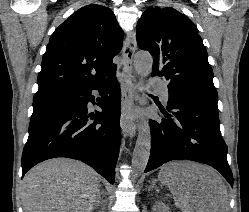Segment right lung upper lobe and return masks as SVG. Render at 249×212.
Returning <instances> with one entry per match:
<instances>
[{"mask_svg":"<svg viewBox=\"0 0 249 212\" xmlns=\"http://www.w3.org/2000/svg\"><path fill=\"white\" fill-rule=\"evenodd\" d=\"M123 31L107 7L77 10L50 37L34 97L95 86L114 74L113 57L122 48Z\"/></svg>","mask_w":249,"mask_h":212,"instance_id":"1","label":"right lung upper lobe"}]
</instances>
